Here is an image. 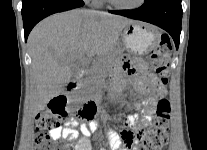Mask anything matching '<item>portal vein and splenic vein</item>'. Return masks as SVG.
<instances>
[{
    "mask_svg": "<svg viewBox=\"0 0 207 150\" xmlns=\"http://www.w3.org/2000/svg\"><path fill=\"white\" fill-rule=\"evenodd\" d=\"M77 58H78V59H81V58H82V56H78Z\"/></svg>",
    "mask_w": 207,
    "mask_h": 150,
    "instance_id": "18ae733b",
    "label": "portal vein and splenic vein"
}]
</instances>
